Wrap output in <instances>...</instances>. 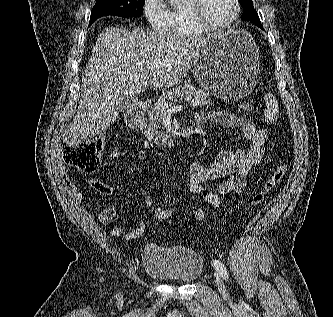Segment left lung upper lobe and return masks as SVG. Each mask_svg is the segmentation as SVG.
Here are the masks:
<instances>
[{
	"mask_svg": "<svg viewBox=\"0 0 333 317\" xmlns=\"http://www.w3.org/2000/svg\"><path fill=\"white\" fill-rule=\"evenodd\" d=\"M238 1L244 9V14L242 15L241 19L243 21H250V22L256 24L261 29H263V26L260 22L258 13L256 12V10L253 7L252 0H238Z\"/></svg>",
	"mask_w": 333,
	"mask_h": 317,
	"instance_id": "obj_1",
	"label": "left lung upper lobe"
}]
</instances>
